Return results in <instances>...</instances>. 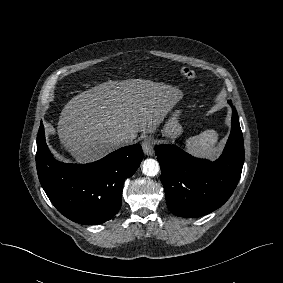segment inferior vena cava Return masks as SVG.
I'll return each mask as SVG.
<instances>
[{"label":"inferior vena cava","mask_w":283,"mask_h":283,"mask_svg":"<svg viewBox=\"0 0 283 283\" xmlns=\"http://www.w3.org/2000/svg\"><path fill=\"white\" fill-rule=\"evenodd\" d=\"M132 142V139H130L128 136H124V135H118L115 139H114V143L118 146H122L125 144H129Z\"/></svg>","instance_id":"1"}]
</instances>
